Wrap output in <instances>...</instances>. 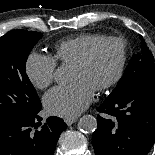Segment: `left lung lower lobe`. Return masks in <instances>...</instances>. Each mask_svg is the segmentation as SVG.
<instances>
[{
  "instance_id": "obj_1",
  "label": "left lung lower lobe",
  "mask_w": 155,
  "mask_h": 155,
  "mask_svg": "<svg viewBox=\"0 0 155 155\" xmlns=\"http://www.w3.org/2000/svg\"><path fill=\"white\" fill-rule=\"evenodd\" d=\"M92 145L97 155H147L155 142V80L109 95L97 109Z\"/></svg>"
}]
</instances>
